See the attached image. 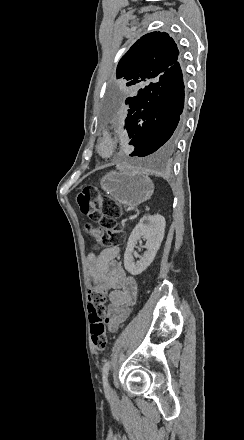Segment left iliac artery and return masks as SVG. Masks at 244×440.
<instances>
[{
	"label": "left iliac artery",
	"mask_w": 244,
	"mask_h": 440,
	"mask_svg": "<svg viewBox=\"0 0 244 440\" xmlns=\"http://www.w3.org/2000/svg\"><path fill=\"white\" fill-rule=\"evenodd\" d=\"M110 368V361H107L102 369V380H103V386L105 390H108L109 385H108V381H107V376H108V371Z\"/></svg>",
	"instance_id": "1"
}]
</instances>
